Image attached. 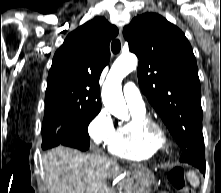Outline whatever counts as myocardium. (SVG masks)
I'll return each mask as SVG.
<instances>
[{
  "instance_id": "f54148a6",
  "label": "myocardium",
  "mask_w": 221,
  "mask_h": 193,
  "mask_svg": "<svg viewBox=\"0 0 221 193\" xmlns=\"http://www.w3.org/2000/svg\"><path fill=\"white\" fill-rule=\"evenodd\" d=\"M141 129L157 146L165 147L168 145V131L160 120L146 117L141 124Z\"/></svg>"
}]
</instances>
